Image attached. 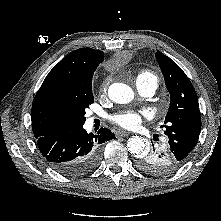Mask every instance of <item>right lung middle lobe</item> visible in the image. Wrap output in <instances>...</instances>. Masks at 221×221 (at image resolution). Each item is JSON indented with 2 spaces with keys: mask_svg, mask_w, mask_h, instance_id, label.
<instances>
[{
  "mask_svg": "<svg viewBox=\"0 0 221 221\" xmlns=\"http://www.w3.org/2000/svg\"><path fill=\"white\" fill-rule=\"evenodd\" d=\"M93 73L94 71L87 73L75 91L71 95L61 98L58 102L61 114L73 128L83 126L86 120L85 110L94 102L91 88Z\"/></svg>",
  "mask_w": 221,
  "mask_h": 221,
  "instance_id": "obj_1",
  "label": "right lung middle lobe"
}]
</instances>
